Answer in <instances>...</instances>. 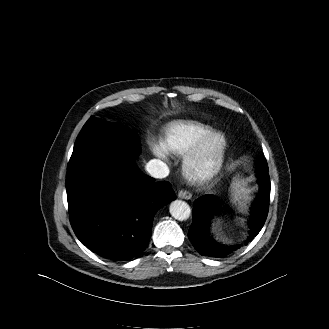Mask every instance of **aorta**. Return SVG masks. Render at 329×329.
I'll return each mask as SVG.
<instances>
[{
    "instance_id": "obj_1",
    "label": "aorta",
    "mask_w": 329,
    "mask_h": 329,
    "mask_svg": "<svg viewBox=\"0 0 329 329\" xmlns=\"http://www.w3.org/2000/svg\"><path fill=\"white\" fill-rule=\"evenodd\" d=\"M170 214L179 221L187 220L191 215L190 206L182 200H174L169 207Z\"/></svg>"
}]
</instances>
